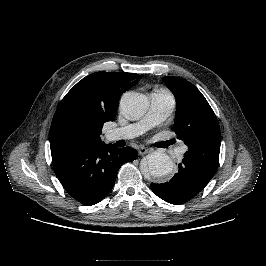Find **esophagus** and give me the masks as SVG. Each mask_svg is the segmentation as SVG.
<instances>
[{
    "instance_id": "esophagus-1",
    "label": "esophagus",
    "mask_w": 266,
    "mask_h": 266,
    "mask_svg": "<svg viewBox=\"0 0 266 266\" xmlns=\"http://www.w3.org/2000/svg\"><path fill=\"white\" fill-rule=\"evenodd\" d=\"M148 152H149V150L147 148H145V147H139L138 148L139 155H144V154H146Z\"/></svg>"
}]
</instances>
